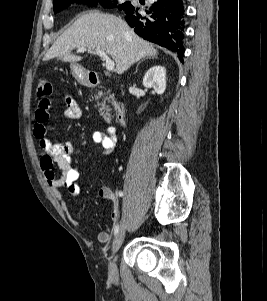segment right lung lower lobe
Wrapping results in <instances>:
<instances>
[{
	"label": "right lung lower lobe",
	"instance_id": "right-lung-lower-lobe-1",
	"mask_svg": "<svg viewBox=\"0 0 267 301\" xmlns=\"http://www.w3.org/2000/svg\"><path fill=\"white\" fill-rule=\"evenodd\" d=\"M123 10L126 21L139 36L177 52L183 62V0H150L143 11L128 3Z\"/></svg>",
	"mask_w": 267,
	"mask_h": 301
}]
</instances>
